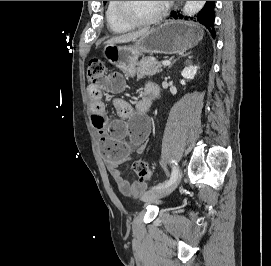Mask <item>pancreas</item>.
<instances>
[{
	"label": "pancreas",
	"instance_id": "obj_1",
	"mask_svg": "<svg viewBox=\"0 0 271 266\" xmlns=\"http://www.w3.org/2000/svg\"><path fill=\"white\" fill-rule=\"evenodd\" d=\"M162 72V65L154 57H143L137 64L139 77L152 76Z\"/></svg>",
	"mask_w": 271,
	"mask_h": 266
}]
</instances>
